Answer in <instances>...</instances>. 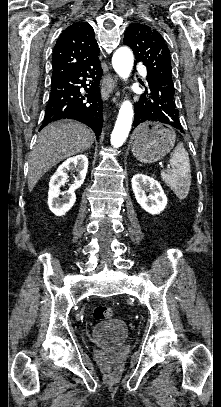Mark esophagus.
<instances>
[{
	"label": "esophagus",
	"mask_w": 221,
	"mask_h": 407,
	"mask_svg": "<svg viewBox=\"0 0 221 407\" xmlns=\"http://www.w3.org/2000/svg\"><path fill=\"white\" fill-rule=\"evenodd\" d=\"M115 87H116V81L113 78L108 77L106 86H105V88L102 89V97L104 99H107L110 96V94L113 92ZM118 94H119V92H117V95Z\"/></svg>",
	"instance_id": "34e87169"
}]
</instances>
